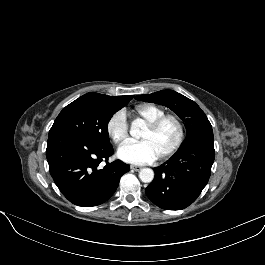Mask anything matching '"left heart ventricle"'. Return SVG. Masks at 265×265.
<instances>
[{"label": "left heart ventricle", "mask_w": 265, "mask_h": 265, "mask_svg": "<svg viewBox=\"0 0 265 265\" xmlns=\"http://www.w3.org/2000/svg\"><path fill=\"white\" fill-rule=\"evenodd\" d=\"M178 134L177 124L169 119L155 131H150L145 128L140 139L142 141H148L159 156L176 142Z\"/></svg>", "instance_id": "b2bd125f"}]
</instances>
